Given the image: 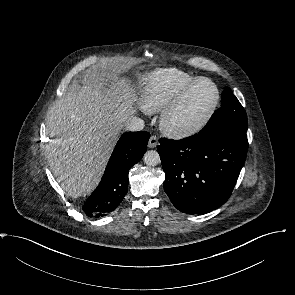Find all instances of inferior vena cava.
<instances>
[{"label": "inferior vena cava", "mask_w": 295, "mask_h": 295, "mask_svg": "<svg viewBox=\"0 0 295 295\" xmlns=\"http://www.w3.org/2000/svg\"><path fill=\"white\" fill-rule=\"evenodd\" d=\"M126 131H141L144 128V121L139 117H133L123 124Z\"/></svg>", "instance_id": "1"}]
</instances>
